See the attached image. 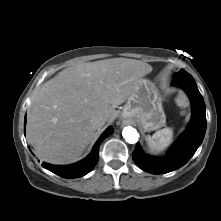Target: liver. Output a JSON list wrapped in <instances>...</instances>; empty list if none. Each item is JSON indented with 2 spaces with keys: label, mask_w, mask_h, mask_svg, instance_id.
I'll return each instance as SVG.
<instances>
[{
  "label": "liver",
  "mask_w": 221,
  "mask_h": 221,
  "mask_svg": "<svg viewBox=\"0 0 221 221\" xmlns=\"http://www.w3.org/2000/svg\"><path fill=\"white\" fill-rule=\"evenodd\" d=\"M152 67L139 60L112 58L78 64L47 81L32 101L27 138L36 156L52 164L75 161L95 131L91 119L112 121Z\"/></svg>",
  "instance_id": "obj_1"
}]
</instances>
